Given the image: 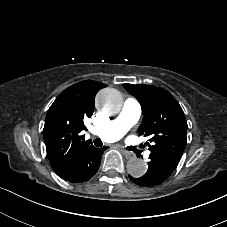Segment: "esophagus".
<instances>
[{
  "mask_svg": "<svg viewBox=\"0 0 227 227\" xmlns=\"http://www.w3.org/2000/svg\"><path fill=\"white\" fill-rule=\"evenodd\" d=\"M121 152L127 159H131L136 156L133 152H130V151L121 150Z\"/></svg>",
  "mask_w": 227,
  "mask_h": 227,
  "instance_id": "34e87169",
  "label": "esophagus"
}]
</instances>
